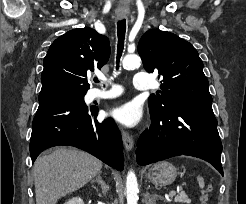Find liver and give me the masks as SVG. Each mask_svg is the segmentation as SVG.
<instances>
[{
	"label": "liver",
	"mask_w": 246,
	"mask_h": 204,
	"mask_svg": "<svg viewBox=\"0 0 246 204\" xmlns=\"http://www.w3.org/2000/svg\"><path fill=\"white\" fill-rule=\"evenodd\" d=\"M102 169V162L77 149L56 148L34 163L36 204L57 201L83 187Z\"/></svg>",
	"instance_id": "6515ba94"
}]
</instances>
